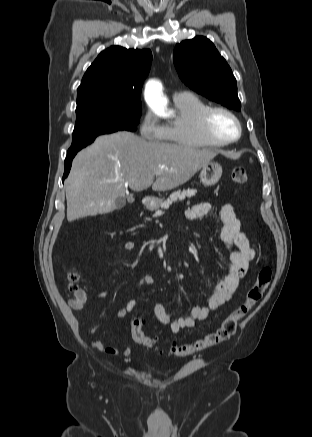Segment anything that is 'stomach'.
Here are the masks:
<instances>
[{"instance_id":"0dacf381","label":"stomach","mask_w":312,"mask_h":437,"mask_svg":"<svg viewBox=\"0 0 312 437\" xmlns=\"http://www.w3.org/2000/svg\"><path fill=\"white\" fill-rule=\"evenodd\" d=\"M222 176V167L217 162H209L205 164L200 172V180L205 186L215 185ZM162 204V200L154 198L148 204L149 209L154 210L159 208Z\"/></svg>"}]
</instances>
